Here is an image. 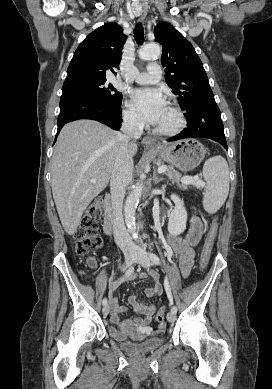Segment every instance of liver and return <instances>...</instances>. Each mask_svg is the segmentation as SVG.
I'll list each match as a JSON object with an SVG mask.
<instances>
[{"instance_id":"liver-1","label":"liver","mask_w":272,"mask_h":389,"mask_svg":"<svg viewBox=\"0 0 272 389\" xmlns=\"http://www.w3.org/2000/svg\"><path fill=\"white\" fill-rule=\"evenodd\" d=\"M119 135L93 120L74 121L61 130L51 161V181L56 208L67 234L76 233L83 212L107 187L120 146ZM137 149L136 143L129 142L131 156Z\"/></svg>"}]
</instances>
